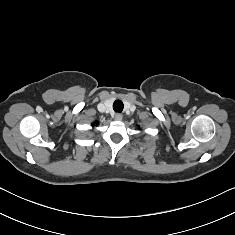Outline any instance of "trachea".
I'll return each mask as SVG.
<instances>
[{
  "mask_svg": "<svg viewBox=\"0 0 235 235\" xmlns=\"http://www.w3.org/2000/svg\"><path fill=\"white\" fill-rule=\"evenodd\" d=\"M123 108H124V105H123V102L121 100H116L113 103V109H114L115 112L121 113L123 111Z\"/></svg>",
  "mask_w": 235,
  "mask_h": 235,
  "instance_id": "obj_1",
  "label": "trachea"
}]
</instances>
